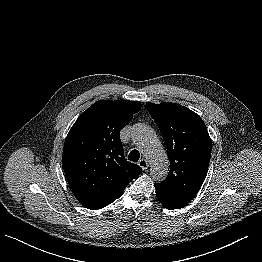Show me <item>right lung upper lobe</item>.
Wrapping results in <instances>:
<instances>
[{
	"label": "right lung upper lobe",
	"instance_id": "obj_1",
	"mask_svg": "<svg viewBox=\"0 0 262 262\" xmlns=\"http://www.w3.org/2000/svg\"><path fill=\"white\" fill-rule=\"evenodd\" d=\"M141 109L128 100H99L70 129L63 148L67 181L86 208L97 210L118 199L142 169L124 158L120 130Z\"/></svg>",
	"mask_w": 262,
	"mask_h": 262
}]
</instances>
